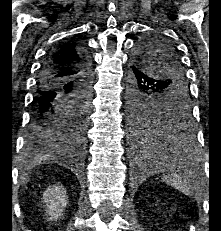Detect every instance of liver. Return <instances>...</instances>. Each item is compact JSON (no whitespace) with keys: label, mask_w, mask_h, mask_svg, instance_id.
<instances>
[{"label":"liver","mask_w":221,"mask_h":231,"mask_svg":"<svg viewBox=\"0 0 221 231\" xmlns=\"http://www.w3.org/2000/svg\"><path fill=\"white\" fill-rule=\"evenodd\" d=\"M53 156H54L53 152H49V153H46V154H41V155H39L38 160L39 161H41V160H47V159H50Z\"/></svg>","instance_id":"6515ba94"}]
</instances>
